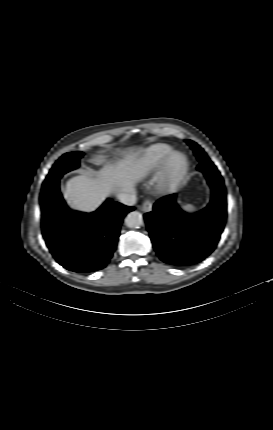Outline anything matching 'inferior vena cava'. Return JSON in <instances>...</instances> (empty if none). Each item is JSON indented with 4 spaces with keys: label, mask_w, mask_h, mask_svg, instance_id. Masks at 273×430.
Returning <instances> with one entry per match:
<instances>
[{
    "label": "inferior vena cava",
    "mask_w": 273,
    "mask_h": 430,
    "mask_svg": "<svg viewBox=\"0 0 273 430\" xmlns=\"http://www.w3.org/2000/svg\"><path fill=\"white\" fill-rule=\"evenodd\" d=\"M118 200L128 206H133L136 203V193L130 192V193H119L117 195Z\"/></svg>",
    "instance_id": "obj_1"
}]
</instances>
